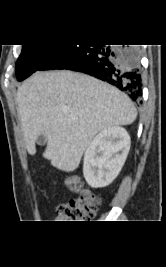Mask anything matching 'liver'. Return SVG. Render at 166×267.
Wrapping results in <instances>:
<instances>
[{
	"instance_id": "liver-1",
	"label": "liver",
	"mask_w": 166,
	"mask_h": 267,
	"mask_svg": "<svg viewBox=\"0 0 166 267\" xmlns=\"http://www.w3.org/2000/svg\"><path fill=\"white\" fill-rule=\"evenodd\" d=\"M17 104L30 155L46 135L43 157L65 172L78 168L102 130L132 124L137 111L127 95L93 77L71 71L37 72L17 91Z\"/></svg>"
}]
</instances>
